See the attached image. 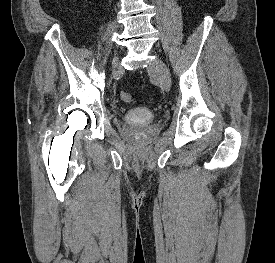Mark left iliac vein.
Here are the masks:
<instances>
[{"mask_svg": "<svg viewBox=\"0 0 275 263\" xmlns=\"http://www.w3.org/2000/svg\"><path fill=\"white\" fill-rule=\"evenodd\" d=\"M148 71L157 77L164 90H170L171 78L169 69L161 59L156 58L153 60L148 66Z\"/></svg>", "mask_w": 275, "mask_h": 263, "instance_id": "4c4485c4", "label": "left iliac vein"}]
</instances>
